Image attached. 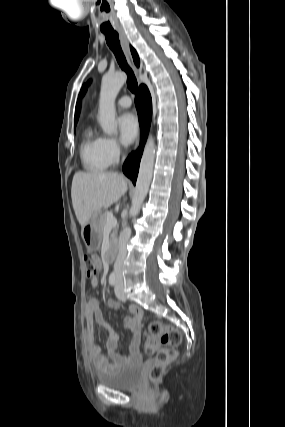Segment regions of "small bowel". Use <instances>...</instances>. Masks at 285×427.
Returning <instances> with one entry per match:
<instances>
[{"label":"small bowel","mask_w":285,"mask_h":427,"mask_svg":"<svg viewBox=\"0 0 285 427\" xmlns=\"http://www.w3.org/2000/svg\"><path fill=\"white\" fill-rule=\"evenodd\" d=\"M92 259L97 263L98 269H100V258L94 255ZM98 283V279L96 277H93L89 282V286L91 288H96L98 286ZM105 304L107 307L113 309H117L120 307L119 302L116 300H108ZM130 311L132 313V316L125 317L121 320L122 326L132 335V338L128 345V354L123 355L117 352V345L120 336L114 331H112L111 328L106 324L101 311V302L96 298H92L87 302L85 308L87 346L92 362L98 371L111 372L118 367L129 363L137 362L141 359L140 329L142 310L137 306H132L130 308ZM94 322H97L100 326H102L108 334V338L105 343V348L107 350L109 359L102 353L100 347L96 342V337L94 333Z\"/></svg>","instance_id":"c3829d8e"}]
</instances>
